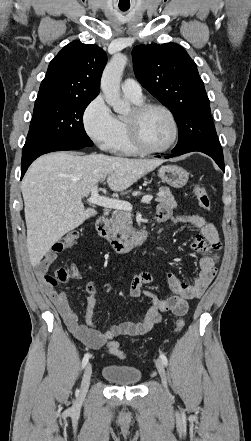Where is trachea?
I'll return each mask as SVG.
<instances>
[{
    "label": "trachea",
    "mask_w": 251,
    "mask_h": 441,
    "mask_svg": "<svg viewBox=\"0 0 251 441\" xmlns=\"http://www.w3.org/2000/svg\"><path fill=\"white\" fill-rule=\"evenodd\" d=\"M129 8H120L121 11H127Z\"/></svg>",
    "instance_id": "1"
}]
</instances>
